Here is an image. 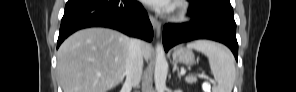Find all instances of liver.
<instances>
[{
    "instance_id": "6515ba94",
    "label": "liver",
    "mask_w": 296,
    "mask_h": 92,
    "mask_svg": "<svg viewBox=\"0 0 296 92\" xmlns=\"http://www.w3.org/2000/svg\"><path fill=\"white\" fill-rule=\"evenodd\" d=\"M130 38L107 28H88L68 37L57 54L63 92H107L123 81ZM152 46L142 43L149 59Z\"/></svg>"
}]
</instances>
